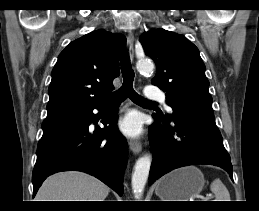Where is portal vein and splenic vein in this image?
<instances>
[{"instance_id":"obj_1","label":"portal vein and splenic vein","mask_w":259,"mask_h":211,"mask_svg":"<svg viewBox=\"0 0 259 211\" xmlns=\"http://www.w3.org/2000/svg\"><path fill=\"white\" fill-rule=\"evenodd\" d=\"M211 196H206V197H202L203 201H208V199H210Z\"/></svg>"}]
</instances>
